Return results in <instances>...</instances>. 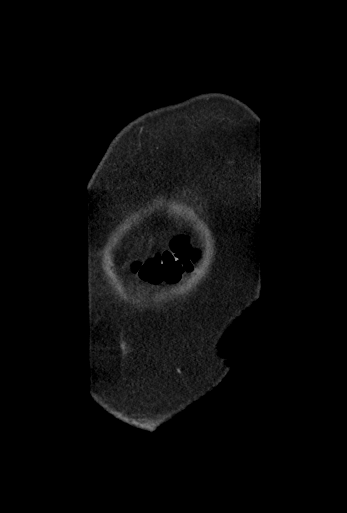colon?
<instances>
[{
    "mask_svg": "<svg viewBox=\"0 0 347 513\" xmlns=\"http://www.w3.org/2000/svg\"><path fill=\"white\" fill-rule=\"evenodd\" d=\"M194 259L188 242L178 238L171 249L157 258H152L139 268L141 278L151 284L175 283Z\"/></svg>",
    "mask_w": 347,
    "mask_h": 513,
    "instance_id": "1",
    "label": "colon"
}]
</instances>
